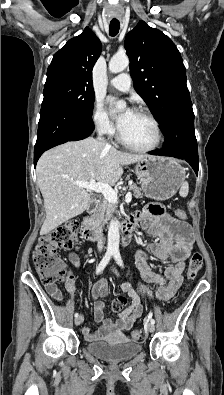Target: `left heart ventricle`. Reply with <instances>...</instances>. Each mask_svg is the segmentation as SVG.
Segmentation results:
<instances>
[{"instance_id": "obj_1", "label": "left heart ventricle", "mask_w": 224, "mask_h": 395, "mask_svg": "<svg viewBox=\"0 0 224 395\" xmlns=\"http://www.w3.org/2000/svg\"><path fill=\"white\" fill-rule=\"evenodd\" d=\"M124 139L136 146H150L156 138L153 124L143 115L133 112L120 128Z\"/></svg>"}]
</instances>
